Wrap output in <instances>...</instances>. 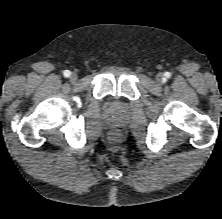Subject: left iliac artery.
Listing matches in <instances>:
<instances>
[{"mask_svg":"<svg viewBox=\"0 0 222 219\" xmlns=\"http://www.w3.org/2000/svg\"><path fill=\"white\" fill-rule=\"evenodd\" d=\"M164 76H165L166 78H169V77L171 76V74H170L169 72H166V73L164 74Z\"/></svg>","mask_w":222,"mask_h":219,"instance_id":"1","label":"left iliac artery"}]
</instances>
